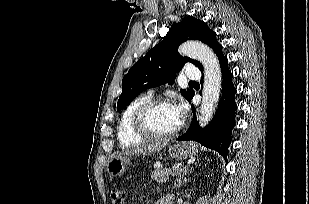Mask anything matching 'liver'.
<instances>
[{
	"mask_svg": "<svg viewBox=\"0 0 309 204\" xmlns=\"http://www.w3.org/2000/svg\"><path fill=\"white\" fill-rule=\"evenodd\" d=\"M167 144L168 141L157 142L155 144L128 150L125 152V155H144L154 153L156 151L162 150Z\"/></svg>",
	"mask_w": 309,
	"mask_h": 204,
	"instance_id": "obj_1",
	"label": "liver"
}]
</instances>
